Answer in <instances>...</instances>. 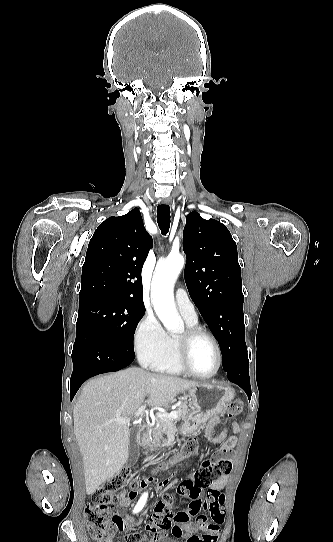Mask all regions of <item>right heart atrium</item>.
Segmentation results:
<instances>
[{
  "instance_id": "d8ad5b80",
  "label": "right heart atrium",
  "mask_w": 333,
  "mask_h": 542,
  "mask_svg": "<svg viewBox=\"0 0 333 542\" xmlns=\"http://www.w3.org/2000/svg\"><path fill=\"white\" fill-rule=\"evenodd\" d=\"M166 332L157 317L146 313L134 331L135 351L139 357L162 349L166 344Z\"/></svg>"
}]
</instances>
